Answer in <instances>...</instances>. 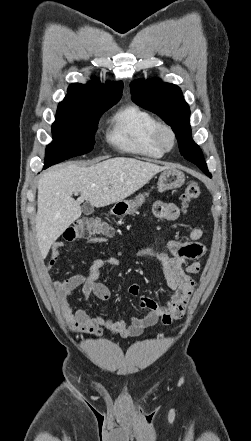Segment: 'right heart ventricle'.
Wrapping results in <instances>:
<instances>
[{
  "mask_svg": "<svg viewBox=\"0 0 251 441\" xmlns=\"http://www.w3.org/2000/svg\"><path fill=\"white\" fill-rule=\"evenodd\" d=\"M156 123V118L145 109L133 103L126 104L111 116L106 138L121 152L160 159L164 152L152 139Z\"/></svg>",
  "mask_w": 251,
  "mask_h": 441,
  "instance_id": "right-heart-ventricle-1",
  "label": "right heart ventricle"
}]
</instances>
